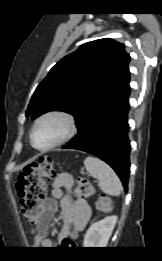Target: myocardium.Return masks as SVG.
Returning a JSON list of instances; mask_svg holds the SVG:
<instances>
[{"label": "myocardium", "instance_id": "1", "mask_svg": "<svg viewBox=\"0 0 162 261\" xmlns=\"http://www.w3.org/2000/svg\"><path fill=\"white\" fill-rule=\"evenodd\" d=\"M49 119H58L62 121L64 124V130L62 134L50 144L44 147H37L34 144V132L42 122ZM76 131H77L76 121L71 114L61 110L48 111L42 114L41 116H39L34 122L30 131V144L34 149L38 151H42V152L48 151L69 141L76 134Z\"/></svg>", "mask_w": 162, "mask_h": 261}]
</instances>
